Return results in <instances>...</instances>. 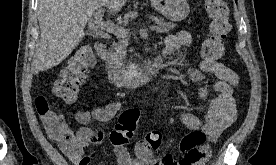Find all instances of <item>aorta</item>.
<instances>
[{"mask_svg":"<svg viewBox=\"0 0 276 165\" xmlns=\"http://www.w3.org/2000/svg\"><path fill=\"white\" fill-rule=\"evenodd\" d=\"M138 74V66L137 65H132L130 70H129V77L134 80L137 77Z\"/></svg>","mask_w":276,"mask_h":165,"instance_id":"obj_1","label":"aorta"}]
</instances>
